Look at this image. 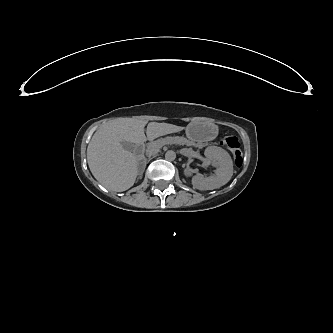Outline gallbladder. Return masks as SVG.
<instances>
[{
    "label": "gallbladder",
    "mask_w": 333,
    "mask_h": 333,
    "mask_svg": "<svg viewBox=\"0 0 333 333\" xmlns=\"http://www.w3.org/2000/svg\"><path fill=\"white\" fill-rule=\"evenodd\" d=\"M121 145L124 149L129 150V151H133L135 145L131 142H121Z\"/></svg>",
    "instance_id": "obj_1"
}]
</instances>
